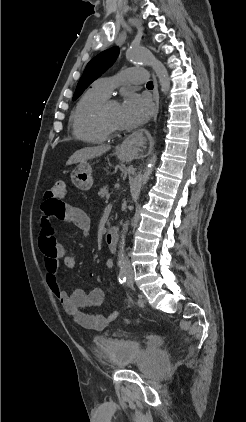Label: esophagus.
Listing matches in <instances>:
<instances>
[{"label":"esophagus","mask_w":246,"mask_h":422,"mask_svg":"<svg viewBox=\"0 0 246 422\" xmlns=\"http://www.w3.org/2000/svg\"><path fill=\"white\" fill-rule=\"evenodd\" d=\"M153 79H154L153 95H154V101H155V117H154V119H156L157 113H158V110H159V92H158L157 80H156V77L154 75H153ZM148 143H149L150 147H152L154 145V140H153L152 137L148 138ZM146 144H147V140L141 139V138L137 137L136 135H132L126 140V142L124 144V148L130 154L143 153V151L146 148Z\"/></svg>","instance_id":"34e87169"}]
</instances>
